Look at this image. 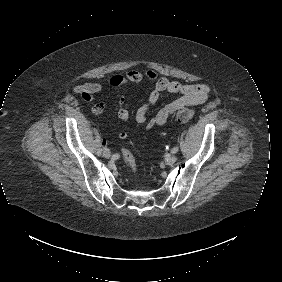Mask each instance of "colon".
<instances>
[{
    "label": "colon",
    "mask_w": 282,
    "mask_h": 282,
    "mask_svg": "<svg viewBox=\"0 0 282 282\" xmlns=\"http://www.w3.org/2000/svg\"><path fill=\"white\" fill-rule=\"evenodd\" d=\"M193 115V109H191L190 107H182L178 110L176 118L181 122H185L190 120ZM121 155L131 171L135 172L138 170L137 162L129 149H122Z\"/></svg>",
    "instance_id": "colon-1"
}]
</instances>
